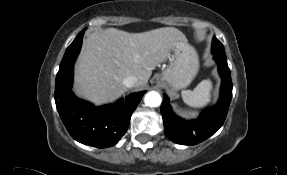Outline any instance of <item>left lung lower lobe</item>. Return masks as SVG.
Instances as JSON below:
<instances>
[{"label":"left lung lower lobe","instance_id":"obj_1","mask_svg":"<svg viewBox=\"0 0 287 175\" xmlns=\"http://www.w3.org/2000/svg\"><path fill=\"white\" fill-rule=\"evenodd\" d=\"M213 55L222 79L220 98L216 106L201 113L198 119L186 121L172 112L169 98L164 96L161 105L164 133L175 143L198 144L213 135L224 123L232 99V81L226 55Z\"/></svg>","mask_w":287,"mask_h":175}]
</instances>
